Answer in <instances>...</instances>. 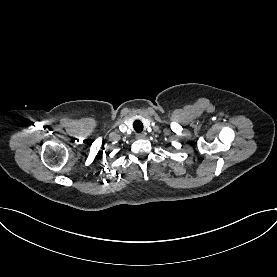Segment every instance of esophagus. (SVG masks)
I'll return each instance as SVG.
<instances>
[{
    "instance_id": "esophagus-1",
    "label": "esophagus",
    "mask_w": 277,
    "mask_h": 277,
    "mask_svg": "<svg viewBox=\"0 0 277 277\" xmlns=\"http://www.w3.org/2000/svg\"><path fill=\"white\" fill-rule=\"evenodd\" d=\"M145 137H146L145 133H138V134H136V138H138V139H144Z\"/></svg>"
}]
</instances>
